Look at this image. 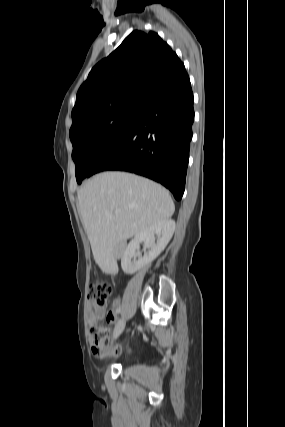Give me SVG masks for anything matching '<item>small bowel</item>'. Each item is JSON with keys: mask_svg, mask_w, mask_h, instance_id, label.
I'll list each match as a JSON object with an SVG mask.
<instances>
[{"mask_svg": "<svg viewBox=\"0 0 285 427\" xmlns=\"http://www.w3.org/2000/svg\"><path fill=\"white\" fill-rule=\"evenodd\" d=\"M119 307H120V301L114 300L112 303L111 310L107 313L104 304H97L95 302H90L89 309H88V321L90 324H92L106 318L110 324H114L117 321V312L119 310ZM116 351H118V347H115L112 350H110L111 354L115 353ZM94 354L97 356L100 355L96 352H94Z\"/></svg>", "mask_w": 285, "mask_h": 427, "instance_id": "c3829d8e", "label": "small bowel"}]
</instances>
